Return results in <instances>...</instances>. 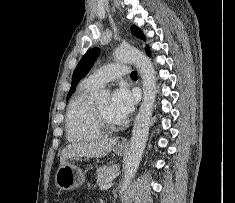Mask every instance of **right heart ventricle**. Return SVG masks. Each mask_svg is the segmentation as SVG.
<instances>
[{
    "label": "right heart ventricle",
    "mask_w": 235,
    "mask_h": 203,
    "mask_svg": "<svg viewBox=\"0 0 235 203\" xmlns=\"http://www.w3.org/2000/svg\"><path fill=\"white\" fill-rule=\"evenodd\" d=\"M97 89L83 81L71 99L66 112V135L69 141L82 142L102 137L93 113L92 94Z\"/></svg>",
    "instance_id": "obj_1"
}]
</instances>
